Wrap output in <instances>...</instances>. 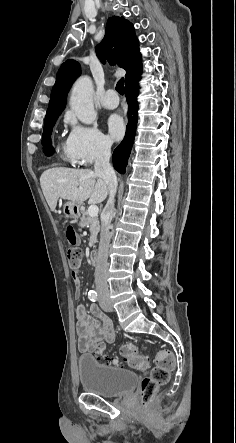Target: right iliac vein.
Returning <instances> with one entry per match:
<instances>
[{
    "label": "right iliac vein",
    "instance_id": "right-iliac-vein-1",
    "mask_svg": "<svg viewBox=\"0 0 236 443\" xmlns=\"http://www.w3.org/2000/svg\"><path fill=\"white\" fill-rule=\"evenodd\" d=\"M105 308H107V309H112V305L111 304H104L103 305Z\"/></svg>",
    "mask_w": 236,
    "mask_h": 443
}]
</instances>
